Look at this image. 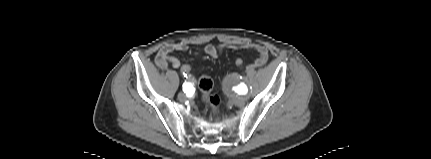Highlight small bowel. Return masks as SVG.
I'll use <instances>...</instances> for the list:
<instances>
[{
    "instance_id": "obj_1",
    "label": "small bowel",
    "mask_w": 431,
    "mask_h": 159,
    "mask_svg": "<svg viewBox=\"0 0 431 159\" xmlns=\"http://www.w3.org/2000/svg\"><path fill=\"white\" fill-rule=\"evenodd\" d=\"M225 48L256 51L258 53V57L251 64L248 65L249 69H254V68L263 66L268 60L267 49L262 45L254 44V43H242L238 45H219V46L210 44L205 47V52L210 57L215 58ZM187 49H188V45L184 42L166 44L158 51L156 55V63L162 68L167 67L169 64L173 68H180V66L183 64H181V62L176 57L172 56L171 53L174 51H186Z\"/></svg>"
}]
</instances>
